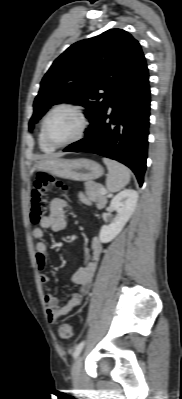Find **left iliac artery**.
Segmentation results:
<instances>
[{"label": "left iliac artery", "instance_id": "1", "mask_svg": "<svg viewBox=\"0 0 182 399\" xmlns=\"http://www.w3.org/2000/svg\"><path fill=\"white\" fill-rule=\"evenodd\" d=\"M84 344H85V341H82L76 346V348H75V350L73 352V357L74 358H77V356L80 354V352L82 351V349L84 347Z\"/></svg>", "mask_w": 182, "mask_h": 399}]
</instances>
